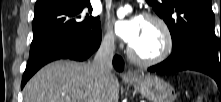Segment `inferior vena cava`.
Returning a JSON list of instances; mask_svg holds the SVG:
<instances>
[{
  "label": "inferior vena cava",
  "mask_w": 221,
  "mask_h": 102,
  "mask_svg": "<svg viewBox=\"0 0 221 102\" xmlns=\"http://www.w3.org/2000/svg\"><path fill=\"white\" fill-rule=\"evenodd\" d=\"M115 45L114 35L107 34L94 57L93 65L98 67L101 73L112 70V60L114 56Z\"/></svg>",
  "instance_id": "602c4592"
}]
</instances>
